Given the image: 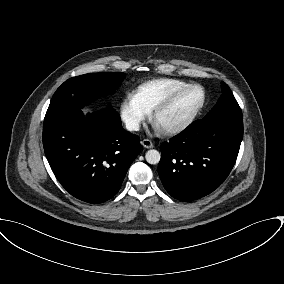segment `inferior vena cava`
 <instances>
[{"label":"inferior vena cava","mask_w":284,"mask_h":284,"mask_svg":"<svg viewBox=\"0 0 284 284\" xmlns=\"http://www.w3.org/2000/svg\"><path fill=\"white\" fill-rule=\"evenodd\" d=\"M140 128L138 121L136 120H128L126 122V129L129 131H138Z\"/></svg>","instance_id":"inferior-vena-cava-1"}]
</instances>
